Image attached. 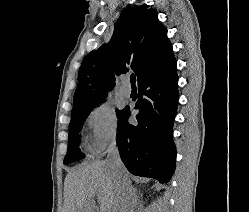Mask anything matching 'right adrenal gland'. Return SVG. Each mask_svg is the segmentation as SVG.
Returning a JSON list of instances; mask_svg holds the SVG:
<instances>
[{"instance_id":"right-adrenal-gland-1","label":"right adrenal gland","mask_w":249,"mask_h":212,"mask_svg":"<svg viewBox=\"0 0 249 212\" xmlns=\"http://www.w3.org/2000/svg\"><path fill=\"white\" fill-rule=\"evenodd\" d=\"M132 200H133V210L135 208V206H138V200L140 198L139 194H137V190L136 188H132Z\"/></svg>"}]
</instances>
